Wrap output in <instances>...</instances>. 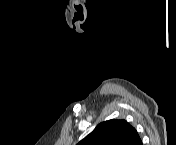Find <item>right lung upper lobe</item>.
I'll return each mask as SVG.
<instances>
[{
    "instance_id": "obj_1",
    "label": "right lung upper lobe",
    "mask_w": 176,
    "mask_h": 145,
    "mask_svg": "<svg viewBox=\"0 0 176 145\" xmlns=\"http://www.w3.org/2000/svg\"><path fill=\"white\" fill-rule=\"evenodd\" d=\"M78 145H142V141L127 121L112 119L97 125Z\"/></svg>"
}]
</instances>
